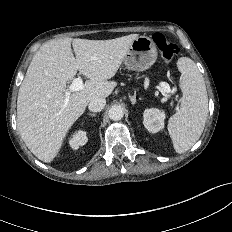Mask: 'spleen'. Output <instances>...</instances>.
<instances>
[{
    "mask_svg": "<svg viewBox=\"0 0 232 232\" xmlns=\"http://www.w3.org/2000/svg\"><path fill=\"white\" fill-rule=\"evenodd\" d=\"M177 67L182 74L183 96L180 109L168 121V131L175 151L181 154L198 141L204 130L208 97L204 79L193 60L181 57Z\"/></svg>",
    "mask_w": 232,
    "mask_h": 232,
    "instance_id": "obj_1",
    "label": "spleen"
}]
</instances>
